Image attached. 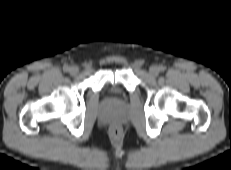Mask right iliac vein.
<instances>
[{
  "label": "right iliac vein",
  "mask_w": 231,
  "mask_h": 170,
  "mask_svg": "<svg viewBox=\"0 0 231 170\" xmlns=\"http://www.w3.org/2000/svg\"><path fill=\"white\" fill-rule=\"evenodd\" d=\"M69 72L71 75H77L79 73V69L77 66H72L70 67Z\"/></svg>",
  "instance_id": "63e3f726"
}]
</instances>
